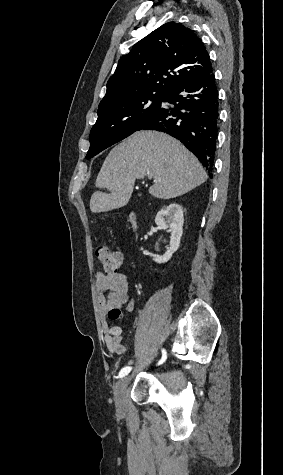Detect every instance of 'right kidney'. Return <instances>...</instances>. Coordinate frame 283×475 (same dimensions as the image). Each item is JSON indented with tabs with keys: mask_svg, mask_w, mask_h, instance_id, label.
<instances>
[{
	"mask_svg": "<svg viewBox=\"0 0 283 475\" xmlns=\"http://www.w3.org/2000/svg\"><path fill=\"white\" fill-rule=\"evenodd\" d=\"M155 224H157L158 228L171 232L170 247H167V251L163 255L154 257V261H157V263H165V261L171 259L174 251L178 249L180 239L182 238L184 218L181 206L179 204H170V206L162 208L155 218Z\"/></svg>",
	"mask_w": 283,
	"mask_h": 475,
	"instance_id": "obj_1",
	"label": "right kidney"
}]
</instances>
